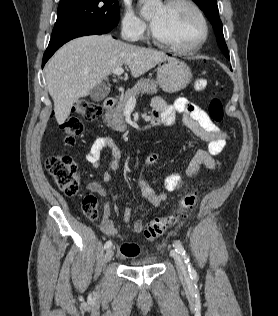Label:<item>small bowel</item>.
I'll use <instances>...</instances> for the list:
<instances>
[{
  "label": "small bowel",
  "instance_id": "small-bowel-1",
  "mask_svg": "<svg viewBox=\"0 0 278 316\" xmlns=\"http://www.w3.org/2000/svg\"><path fill=\"white\" fill-rule=\"evenodd\" d=\"M155 120L163 125L171 126L175 121L176 113L182 115L184 125L200 140L207 143L206 150H198L191 157L186 175L190 178L195 177L202 169H213L217 161L215 157L219 155L230 137L219 128L210 118L205 110L199 107L186 97L178 98L174 104H167L161 97H155L152 100ZM109 149L114 160L109 165V171L117 172L120 169L119 158L121 156L120 149L116 146L113 139L108 135L97 137L89 147L85 158L94 167L101 166V157L105 150ZM162 156L161 152H153L148 155L144 161L146 167L154 165ZM105 182H111L113 176L110 172L103 175ZM182 185V178L179 172H171L164 180L165 191L156 192L153 186L145 179L138 180V186L141 190L142 197L153 207L161 205L168 197V193L177 191ZM132 210L125 207L123 212V221L131 232L139 234L143 229V221L138 219L130 223ZM110 204H106L104 208V216L100 222L102 232L108 236H118L119 231L115 227L111 217Z\"/></svg>",
  "mask_w": 278,
  "mask_h": 316
}]
</instances>
